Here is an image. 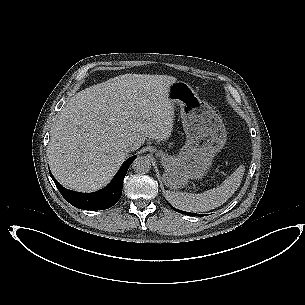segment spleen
I'll return each mask as SVG.
<instances>
[{
	"instance_id": "spleen-1",
	"label": "spleen",
	"mask_w": 305,
	"mask_h": 305,
	"mask_svg": "<svg viewBox=\"0 0 305 305\" xmlns=\"http://www.w3.org/2000/svg\"><path fill=\"white\" fill-rule=\"evenodd\" d=\"M240 174L234 172L222 184L203 193H180L168 191L167 198L176 208L188 212H205L223 205L234 193L232 183L240 179Z\"/></svg>"
}]
</instances>
